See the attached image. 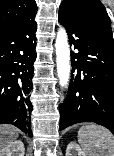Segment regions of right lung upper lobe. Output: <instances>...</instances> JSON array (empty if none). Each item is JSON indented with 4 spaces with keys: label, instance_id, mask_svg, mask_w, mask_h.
I'll use <instances>...</instances> for the list:
<instances>
[{
    "label": "right lung upper lobe",
    "instance_id": "cb5924a9",
    "mask_svg": "<svg viewBox=\"0 0 114 156\" xmlns=\"http://www.w3.org/2000/svg\"><path fill=\"white\" fill-rule=\"evenodd\" d=\"M34 0H0V32L36 15Z\"/></svg>",
    "mask_w": 114,
    "mask_h": 156
}]
</instances>
